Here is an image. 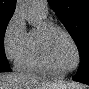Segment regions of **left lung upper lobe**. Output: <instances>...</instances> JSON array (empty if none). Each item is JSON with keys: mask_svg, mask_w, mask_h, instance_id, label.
Segmentation results:
<instances>
[{"mask_svg": "<svg viewBox=\"0 0 89 89\" xmlns=\"http://www.w3.org/2000/svg\"><path fill=\"white\" fill-rule=\"evenodd\" d=\"M75 41L81 68L89 69V0H48Z\"/></svg>", "mask_w": 89, "mask_h": 89, "instance_id": "obj_1", "label": "left lung upper lobe"}]
</instances>
